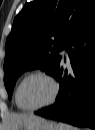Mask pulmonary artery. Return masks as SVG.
Masks as SVG:
<instances>
[{"mask_svg": "<svg viewBox=\"0 0 95 130\" xmlns=\"http://www.w3.org/2000/svg\"><path fill=\"white\" fill-rule=\"evenodd\" d=\"M62 55H63L64 57L68 58V53H67L66 50H63V51H62Z\"/></svg>", "mask_w": 95, "mask_h": 130, "instance_id": "1", "label": "pulmonary artery"}]
</instances>
